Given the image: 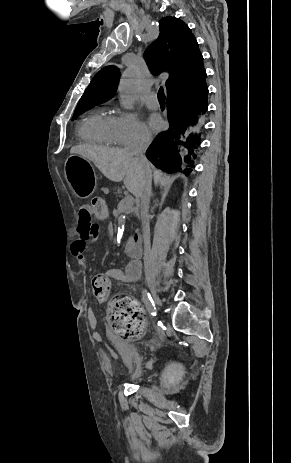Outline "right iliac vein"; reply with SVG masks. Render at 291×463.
<instances>
[{"label": "right iliac vein", "mask_w": 291, "mask_h": 463, "mask_svg": "<svg viewBox=\"0 0 291 463\" xmlns=\"http://www.w3.org/2000/svg\"><path fill=\"white\" fill-rule=\"evenodd\" d=\"M148 285L152 293L153 300L157 306H161V300L157 295L156 286L153 279H148Z\"/></svg>", "instance_id": "right-iliac-vein-1"}]
</instances>
